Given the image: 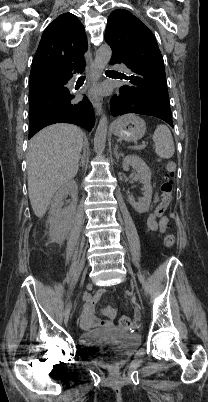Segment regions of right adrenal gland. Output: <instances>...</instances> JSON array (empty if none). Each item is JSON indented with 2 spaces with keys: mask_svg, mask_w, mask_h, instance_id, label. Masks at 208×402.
I'll list each match as a JSON object with an SVG mask.
<instances>
[{
  "mask_svg": "<svg viewBox=\"0 0 208 402\" xmlns=\"http://www.w3.org/2000/svg\"><path fill=\"white\" fill-rule=\"evenodd\" d=\"M85 152H86V150H83V156H80L81 162H80L79 166H84Z\"/></svg>",
  "mask_w": 208,
  "mask_h": 402,
  "instance_id": "1",
  "label": "right adrenal gland"
}]
</instances>
